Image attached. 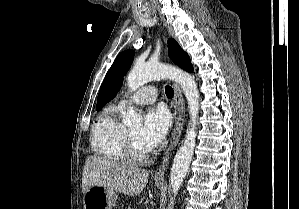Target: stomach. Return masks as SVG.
Returning <instances> with one entry per match:
<instances>
[{
	"label": "stomach",
	"instance_id": "0dacf381",
	"mask_svg": "<svg viewBox=\"0 0 299 209\" xmlns=\"http://www.w3.org/2000/svg\"><path fill=\"white\" fill-rule=\"evenodd\" d=\"M157 187L160 182H155ZM118 195L115 190L103 186H91L84 194V209H112Z\"/></svg>",
	"mask_w": 299,
	"mask_h": 209
}]
</instances>
